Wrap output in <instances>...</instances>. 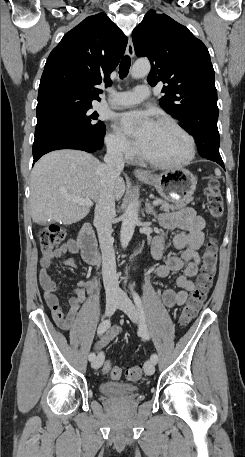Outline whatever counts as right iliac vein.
<instances>
[{
  "mask_svg": "<svg viewBox=\"0 0 245 457\" xmlns=\"http://www.w3.org/2000/svg\"><path fill=\"white\" fill-rule=\"evenodd\" d=\"M119 302V297H109L107 300H106V314L108 316H111L113 314V312L115 311L116 307H117V304ZM103 361H104V355L102 352H100L98 354V356L96 357V359H94V361L92 362V368L94 369H98L100 368V366L103 364Z\"/></svg>",
  "mask_w": 245,
  "mask_h": 457,
  "instance_id": "right-iliac-vein-1",
  "label": "right iliac vein"
}]
</instances>
